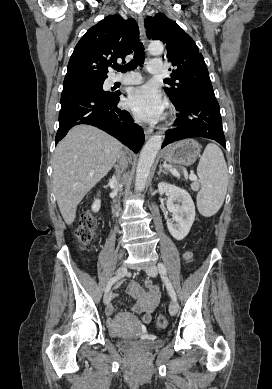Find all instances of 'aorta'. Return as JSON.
<instances>
[{
	"instance_id": "1",
	"label": "aorta",
	"mask_w": 272,
	"mask_h": 389,
	"mask_svg": "<svg viewBox=\"0 0 272 389\" xmlns=\"http://www.w3.org/2000/svg\"><path fill=\"white\" fill-rule=\"evenodd\" d=\"M148 50L152 55H160L163 53L164 47L161 42H151ZM163 136L154 135L143 146L138 165L136 169L135 190L141 191L144 189L147 179L150 174V169L154 163L156 155L161 148Z\"/></svg>"
}]
</instances>
